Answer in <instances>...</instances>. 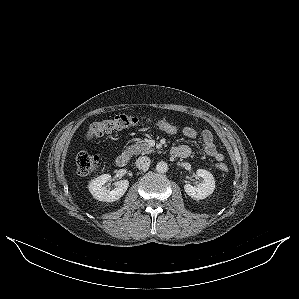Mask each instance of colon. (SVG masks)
<instances>
[{
  "mask_svg": "<svg viewBox=\"0 0 299 299\" xmlns=\"http://www.w3.org/2000/svg\"><path fill=\"white\" fill-rule=\"evenodd\" d=\"M146 121L153 123L159 130L168 135H177L180 132L178 126L166 120ZM143 122V120H140L137 117L120 114L111 119L93 122L88 127L85 137L87 140H93L102 136L104 133H108L114 130L131 128ZM98 164V157L87 152H80L76 157V170L77 173L81 176H87L94 173L98 168ZM217 167L222 172H226L228 170L227 166L224 163H219Z\"/></svg>",
  "mask_w": 299,
  "mask_h": 299,
  "instance_id": "obj_1",
  "label": "colon"
}]
</instances>
